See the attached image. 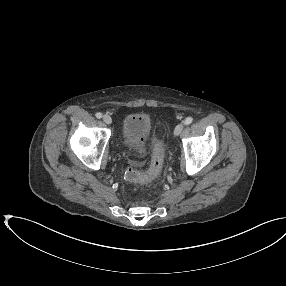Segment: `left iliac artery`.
<instances>
[{
    "label": "left iliac artery",
    "instance_id": "1",
    "mask_svg": "<svg viewBox=\"0 0 286 286\" xmlns=\"http://www.w3.org/2000/svg\"><path fill=\"white\" fill-rule=\"evenodd\" d=\"M192 121H193V119H192L191 117H187V118L185 119V121H184V124H185V125H189V124L192 123Z\"/></svg>",
    "mask_w": 286,
    "mask_h": 286
}]
</instances>
